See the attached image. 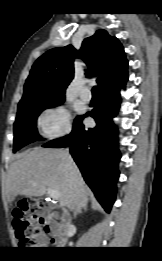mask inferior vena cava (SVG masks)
Listing matches in <instances>:
<instances>
[{
    "instance_id": "inferior-vena-cava-1",
    "label": "inferior vena cava",
    "mask_w": 162,
    "mask_h": 261,
    "mask_svg": "<svg viewBox=\"0 0 162 261\" xmlns=\"http://www.w3.org/2000/svg\"><path fill=\"white\" fill-rule=\"evenodd\" d=\"M68 163H69V165L71 166L72 165V163H73V160H72V158H71V156L69 155L68 156Z\"/></svg>"
}]
</instances>
